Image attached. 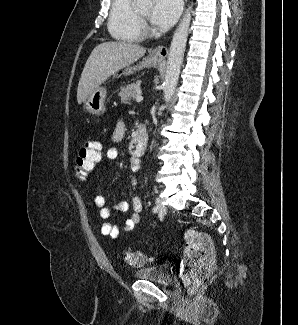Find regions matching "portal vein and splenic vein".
Segmentation results:
<instances>
[{"label": "portal vein and splenic vein", "instance_id": "obj_1", "mask_svg": "<svg viewBox=\"0 0 298 325\" xmlns=\"http://www.w3.org/2000/svg\"><path fill=\"white\" fill-rule=\"evenodd\" d=\"M144 96H142L141 92H137V96L135 98L136 102H141L143 100Z\"/></svg>", "mask_w": 298, "mask_h": 325}]
</instances>
